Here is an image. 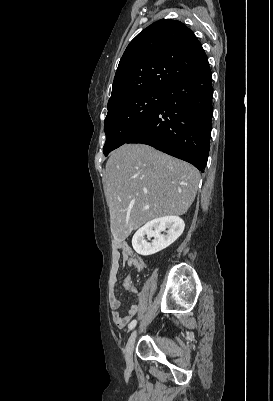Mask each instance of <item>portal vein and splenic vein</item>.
Masks as SVG:
<instances>
[{"instance_id":"portal-vein-and-splenic-vein-1","label":"portal vein and splenic vein","mask_w":273,"mask_h":401,"mask_svg":"<svg viewBox=\"0 0 273 401\" xmlns=\"http://www.w3.org/2000/svg\"><path fill=\"white\" fill-rule=\"evenodd\" d=\"M144 209H149V205H145Z\"/></svg>"}]
</instances>
